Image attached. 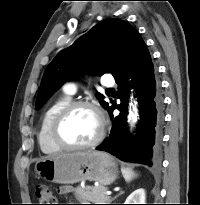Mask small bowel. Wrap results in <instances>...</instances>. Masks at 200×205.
I'll return each instance as SVG.
<instances>
[{
	"label": "small bowel",
	"instance_id": "1",
	"mask_svg": "<svg viewBox=\"0 0 200 205\" xmlns=\"http://www.w3.org/2000/svg\"><path fill=\"white\" fill-rule=\"evenodd\" d=\"M72 191L70 186H61L59 187V193L60 194H68Z\"/></svg>",
	"mask_w": 200,
	"mask_h": 205
}]
</instances>
